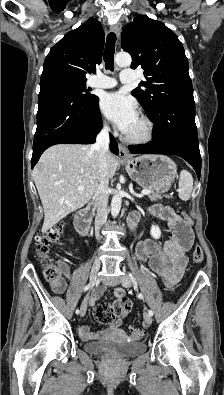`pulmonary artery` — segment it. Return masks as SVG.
<instances>
[{"label":"pulmonary artery","instance_id":"e3ab8cb5","mask_svg":"<svg viewBox=\"0 0 224 395\" xmlns=\"http://www.w3.org/2000/svg\"><path fill=\"white\" fill-rule=\"evenodd\" d=\"M119 79L120 82L124 84L133 82L135 80L134 71L131 69L122 70ZM116 84L117 81L114 78L101 74L97 75L89 83V85L94 88H112L116 86Z\"/></svg>","mask_w":224,"mask_h":395}]
</instances>
